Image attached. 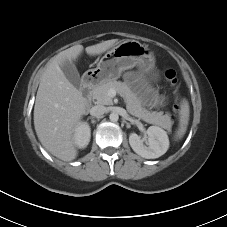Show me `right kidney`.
I'll use <instances>...</instances> for the list:
<instances>
[{"mask_svg": "<svg viewBox=\"0 0 227 227\" xmlns=\"http://www.w3.org/2000/svg\"><path fill=\"white\" fill-rule=\"evenodd\" d=\"M91 136V130L88 123H79L74 132V141L79 148H85Z\"/></svg>", "mask_w": 227, "mask_h": 227, "instance_id": "right-kidney-1", "label": "right kidney"}]
</instances>
